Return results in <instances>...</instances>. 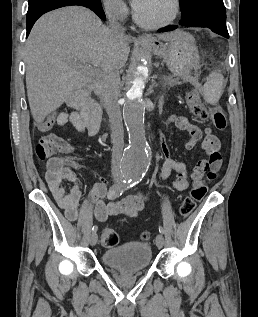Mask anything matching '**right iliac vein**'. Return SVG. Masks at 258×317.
I'll list each match as a JSON object with an SVG mask.
<instances>
[{"instance_id": "obj_1", "label": "right iliac vein", "mask_w": 258, "mask_h": 317, "mask_svg": "<svg viewBox=\"0 0 258 317\" xmlns=\"http://www.w3.org/2000/svg\"><path fill=\"white\" fill-rule=\"evenodd\" d=\"M89 241H90V245H93V246H96L97 245V242H98V236L97 234L94 232V233H91L90 236H89Z\"/></svg>"}]
</instances>
